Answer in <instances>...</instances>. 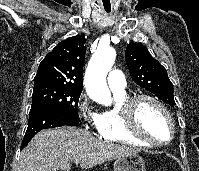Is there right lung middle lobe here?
<instances>
[{"label": "right lung middle lobe", "mask_w": 199, "mask_h": 171, "mask_svg": "<svg viewBox=\"0 0 199 171\" xmlns=\"http://www.w3.org/2000/svg\"><path fill=\"white\" fill-rule=\"evenodd\" d=\"M81 92L80 88L64 84L34 83L31 110L51 107L80 120L77 107Z\"/></svg>", "instance_id": "right-lung-middle-lobe-1"}]
</instances>
